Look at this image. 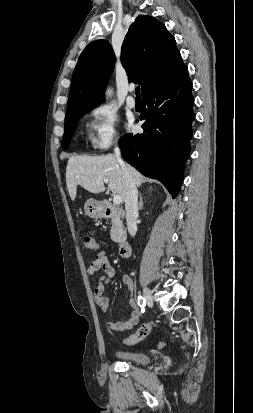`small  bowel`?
I'll list each match as a JSON object with an SVG mask.
<instances>
[{
	"mask_svg": "<svg viewBox=\"0 0 253 413\" xmlns=\"http://www.w3.org/2000/svg\"><path fill=\"white\" fill-rule=\"evenodd\" d=\"M102 271L103 276L99 279L98 285L95 288V302L102 313H106L109 309V299L104 293V286L110 281L115 275V270L109 263L106 253L100 251L95 259L90 263L87 273L89 276H95L98 272ZM123 284L128 290L133 288V280L129 275H124L122 277ZM131 307V313L128 319L119 322H106V328L115 332H125L132 329L139 321L140 310L139 307L134 303L132 299L129 300Z\"/></svg>",
	"mask_w": 253,
	"mask_h": 413,
	"instance_id": "1",
	"label": "small bowel"
}]
</instances>
